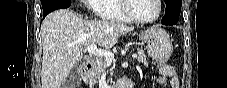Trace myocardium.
I'll return each instance as SVG.
<instances>
[{"mask_svg":"<svg viewBox=\"0 0 227 88\" xmlns=\"http://www.w3.org/2000/svg\"><path fill=\"white\" fill-rule=\"evenodd\" d=\"M132 1L133 0H123V2H122L123 13L129 19L130 22L136 23V24H151V23L156 22L159 19L160 15L162 13V7H161L160 0H155V3L158 8V12H157V15L151 19H138L135 16H133V14L131 13V10H130V3Z\"/></svg>","mask_w":227,"mask_h":88,"instance_id":"1","label":"myocardium"}]
</instances>
